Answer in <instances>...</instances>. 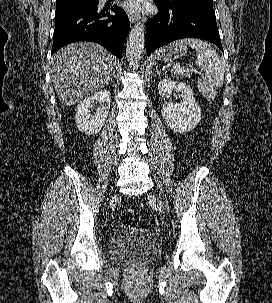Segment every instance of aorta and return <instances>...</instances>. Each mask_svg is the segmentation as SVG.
Returning <instances> with one entry per match:
<instances>
[{"label":"aorta","instance_id":"aorta-1","mask_svg":"<svg viewBox=\"0 0 272 303\" xmlns=\"http://www.w3.org/2000/svg\"><path fill=\"white\" fill-rule=\"evenodd\" d=\"M145 46V26L143 23H136L129 33L126 45V57L130 67L134 70L139 67Z\"/></svg>","mask_w":272,"mask_h":303}]
</instances>
